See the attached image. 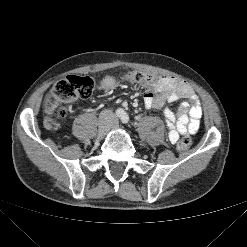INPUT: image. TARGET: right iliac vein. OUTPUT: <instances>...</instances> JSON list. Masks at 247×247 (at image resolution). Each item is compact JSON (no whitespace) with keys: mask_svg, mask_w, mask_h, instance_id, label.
<instances>
[{"mask_svg":"<svg viewBox=\"0 0 247 247\" xmlns=\"http://www.w3.org/2000/svg\"><path fill=\"white\" fill-rule=\"evenodd\" d=\"M108 130H109L108 123L104 120L100 121L99 126H98V137L103 138L106 135Z\"/></svg>","mask_w":247,"mask_h":247,"instance_id":"63e3f726","label":"right iliac vein"}]
</instances>
